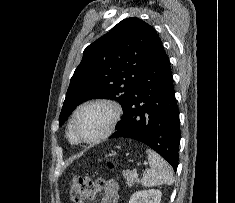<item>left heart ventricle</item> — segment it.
<instances>
[{
	"label": "left heart ventricle",
	"instance_id": "obj_1",
	"mask_svg": "<svg viewBox=\"0 0 235 203\" xmlns=\"http://www.w3.org/2000/svg\"><path fill=\"white\" fill-rule=\"evenodd\" d=\"M113 112L103 104H94L80 111L76 120L78 133L86 139H93L101 135L109 126Z\"/></svg>",
	"mask_w": 235,
	"mask_h": 203
}]
</instances>
